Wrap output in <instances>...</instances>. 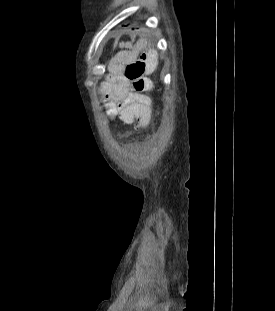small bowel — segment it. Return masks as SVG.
Masks as SVG:
<instances>
[{
	"instance_id": "1",
	"label": "small bowel",
	"mask_w": 275,
	"mask_h": 311,
	"mask_svg": "<svg viewBox=\"0 0 275 311\" xmlns=\"http://www.w3.org/2000/svg\"><path fill=\"white\" fill-rule=\"evenodd\" d=\"M121 47H130L122 43ZM136 57H157L155 50H142L141 46H132L131 50L118 52L109 64V78L102 88L106 107L112 114L118 115L125 124H140L139 131L149 128L151 100L135 90L126 76V68Z\"/></svg>"
}]
</instances>
